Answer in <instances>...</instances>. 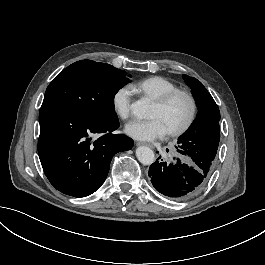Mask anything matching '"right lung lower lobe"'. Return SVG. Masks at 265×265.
Listing matches in <instances>:
<instances>
[{
	"label": "right lung lower lobe",
	"mask_w": 265,
	"mask_h": 265,
	"mask_svg": "<svg viewBox=\"0 0 265 265\" xmlns=\"http://www.w3.org/2000/svg\"><path fill=\"white\" fill-rule=\"evenodd\" d=\"M39 123L38 154L45 175L57 190L78 198L98 190L112 157L134 144L123 134L111 133L118 121L91 120L58 106H42Z\"/></svg>",
	"instance_id": "obj_1"
}]
</instances>
